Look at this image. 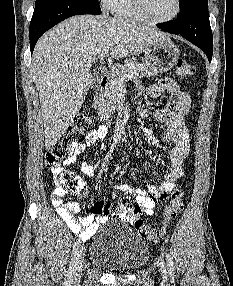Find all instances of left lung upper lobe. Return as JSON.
I'll return each instance as SVG.
<instances>
[{"instance_id": "obj_1", "label": "left lung upper lobe", "mask_w": 233, "mask_h": 286, "mask_svg": "<svg viewBox=\"0 0 233 286\" xmlns=\"http://www.w3.org/2000/svg\"><path fill=\"white\" fill-rule=\"evenodd\" d=\"M204 1H207V0H179L180 15L178 16V18H182L186 16L194 9V7L197 4L202 3Z\"/></svg>"}]
</instances>
